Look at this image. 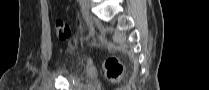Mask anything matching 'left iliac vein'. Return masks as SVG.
I'll return each instance as SVG.
<instances>
[{
    "mask_svg": "<svg viewBox=\"0 0 209 90\" xmlns=\"http://www.w3.org/2000/svg\"><path fill=\"white\" fill-rule=\"evenodd\" d=\"M91 1L83 0L81 4V11L84 17H88L90 14Z\"/></svg>",
    "mask_w": 209,
    "mask_h": 90,
    "instance_id": "4c4485c4",
    "label": "left iliac vein"
}]
</instances>
